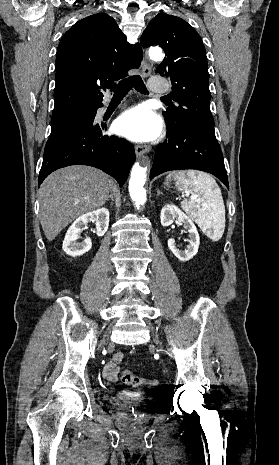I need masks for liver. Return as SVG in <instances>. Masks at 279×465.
Returning <instances> with one entry per match:
<instances>
[{"label":"liver","instance_id":"6515ba94","mask_svg":"<svg viewBox=\"0 0 279 465\" xmlns=\"http://www.w3.org/2000/svg\"><path fill=\"white\" fill-rule=\"evenodd\" d=\"M110 178L94 167L72 165L51 173L39 189L40 223L48 241L74 219L102 207Z\"/></svg>","mask_w":279,"mask_h":465}]
</instances>
